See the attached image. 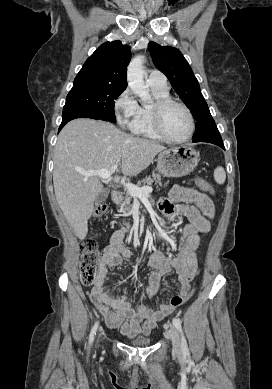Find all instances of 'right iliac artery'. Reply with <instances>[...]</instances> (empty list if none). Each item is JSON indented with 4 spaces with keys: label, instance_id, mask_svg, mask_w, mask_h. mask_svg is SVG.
Instances as JSON below:
<instances>
[{
    "label": "right iliac artery",
    "instance_id": "82829eb1",
    "mask_svg": "<svg viewBox=\"0 0 272 389\" xmlns=\"http://www.w3.org/2000/svg\"><path fill=\"white\" fill-rule=\"evenodd\" d=\"M98 322H96L94 324V326L92 327V330L90 332V335H89V345L92 344L93 340H94V336L96 335V331H97V328H98Z\"/></svg>",
    "mask_w": 272,
    "mask_h": 389
}]
</instances>
